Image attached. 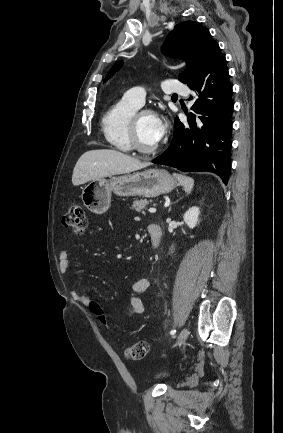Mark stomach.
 Instances as JSON below:
<instances>
[{"label": "stomach", "instance_id": "0dacf381", "mask_svg": "<svg viewBox=\"0 0 283 433\" xmlns=\"http://www.w3.org/2000/svg\"><path fill=\"white\" fill-rule=\"evenodd\" d=\"M177 182L164 168H149L143 172H126L122 176L94 178L82 190L83 204L96 214L106 212L111 202V192L119 196H158L170 192Z\"/></svg>", "mask_w": 283, "mask_h": 433}]
</instances>
